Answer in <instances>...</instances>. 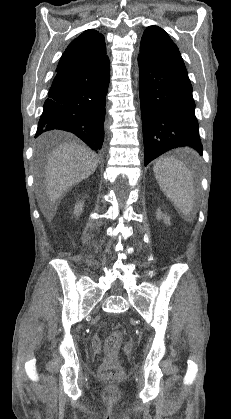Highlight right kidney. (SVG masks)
Listing matches in <instances>:
<instances>
[{
    "instance_id": "ca27d5eb",
    "label": "right kidney",
    "mask_w": 231,
    "mask_h": 419,
    "mask_svg": "<svg viewBox=\"0 0 231 419\" xmlns=\"http://www.w3.org/2000/svg\"><path fill=\"white\" fill-rule=\"evenodd\" d=\"M83 206H84V202H79L77 205H75V208H74V214H75L76 216L80 215V213H81V212H82V210H83Z\"/></svg>"
}]
</instances>
